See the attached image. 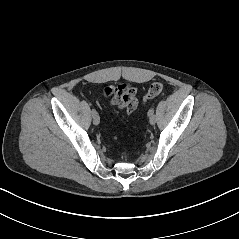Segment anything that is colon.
Masks as SVG:
<instances>
[{
	"label": "colon",
	"instance_id": "obj_1",
	"mask_svg": "<svg viewBox=\"0 0 239 239\" xmlns=\"http://www.w3.org/2000/svg\"><path fill=\"white\" fill-rule=\"evenodd\" d=\"M163 89V84L161 82H155L150 85L147 93L143 97V103H145L147 100L155 98L158 96Z\"/></svg>",
	"mask_w": 239,
	"mask_h": 239
}]
</instances>
